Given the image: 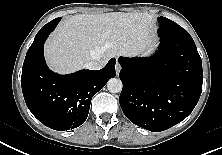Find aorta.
<instances>
[{
  "instance_id": "aorta-1",
  "label": "aorta",
  "mask_w": 222,
  "mask_h": 155,
  "mask_svg": "<svg viewBox=\"0 0 222 155\" xmlns=\"http://www.w3.org/2000/svg\"><path fill=\"white\" fill-rule=\"evenodd\" d=\"M107 88L111 93H119L123 88L122 81L118 78H111L107 82Z\"/></svg>"
}]
</instances>
